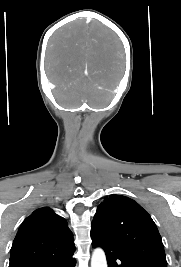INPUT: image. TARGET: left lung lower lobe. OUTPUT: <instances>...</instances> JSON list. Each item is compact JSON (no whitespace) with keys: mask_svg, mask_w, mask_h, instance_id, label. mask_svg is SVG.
Wrapping results in <instances>:
<instances>
[{"mask_svg":"<svg viewBox=\"0 0 181 267\" xmlns=\"http://www.w3.org/2000/svg\"><path fill=\"white\" fill-rule=\"evenodd\" d=\"M92 246H100L104 249L108 267H154L148 262L126 253L112 243L92 239Z\"/></svg>","mask_w":181,"mask_h":267,"instance_id":"obj_1","label":"left lung lower lobe"}]
</instances>
